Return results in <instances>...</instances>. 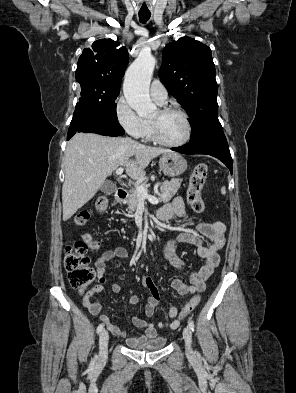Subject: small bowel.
<instances>
[{"mask_svg": "<svg viewBox=\"0 0 296 393\" xmlns=\"http://www.w3.org/2000/svg\"><path fill=\"white\" fill-rule=\"evenodd\" d=\"M159 216L163 220H170L173 218H187L188 211L185 207L181 197L174 198L170 203L164 205L159 210ZM226 227L221 221H210L200 223L195 230L183 231L177 235L175 239L168 241L164 247L163 255L167 262H169L176 269H183L185 262L176 254V248L179 243H189L197 246L198 256L203 263L200 269L193 272L189 276V283H185L181 279L172 281V288L181 296L193 294L195 292H203L205 290V282L212 275L214 269L219 264V251L224 245V233ZM207 238L209 243L206 244L203 238ZM129 257L128 250L124 247L118 246L110 250L104 251L95 261L98 282L88 290L82 297V304L86 307L92 315H99L100 320L105 323L109 331L126 339L129 346L133 347L151 340L157 336V331L163 327L175 329L180 325V320L176 318L177 308L171 306L168 312V317L171 319L168 323L149 322L139 317H133V324L144 329V333L137 336H127L126 332L122 331L115 323L111 321L108 315L102 314V305L99 302H93L92 297L104 289V284L107 281L106 266L107 263L114 259H127ZM142 284L149 289L150 296L147 298L145 305L146 315L151 318L160 306V296L158 289L154 284L152 276L145 275L142 278ZM111 290L118 293L121 286L118 282L111 285ZM139 303V298L133 296L129 299V304L135 305Z\"/></svg>", "mask_w": 296, "mask_h": 393, "instance_id": "1", "label": "small bowel"}]
</instances>
